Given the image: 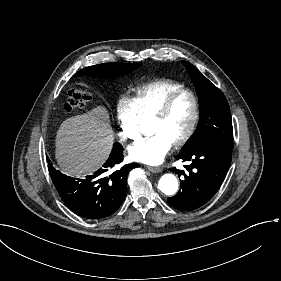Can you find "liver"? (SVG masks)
<instances>
[{
  "mask_svg": "<svg viewBox=\"0 0 281 281\" xmlns=\"http://www.w3.org/2000/svg\"><path fill=\"white\" fill-rule=\"evenodd\" d=\"M115 138L110 115L104 105L69 117L60 123L55 136V160L67 175H92L109 158Z\"/></svg>",
  "mask_w": 281,
  "mask_h": 281,
  "instance_id": "6515ba94",
  "label": "liver"
}]
</instances>
